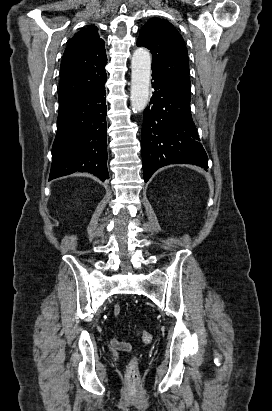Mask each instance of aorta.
<instances>
[{"label": "aorta", "instance_id": "762f6f07", "mask_svg": "<svg viewBox=\"0 0 272 411\" xmlns=\"http://www.w3.org/2000/svg\"><path fill=\"white\" fill-rule=\"evenodd\" d=\"M131 70V108L134 113H138L144 110L149 100L151 57L146 49L134 51Z\"/></svg>", "mask_w": 272, "mask_h": 411}]
</instances>
